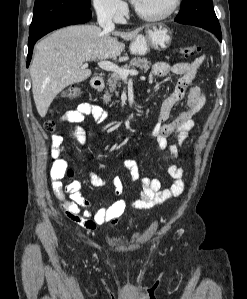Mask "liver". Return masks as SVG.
Returning a JSON list of instances; mask_svg holds the SVG:
<instances>
[{"mask_svg":"<svg viewBox=\"0 0 247 299\" xmlns=\"http://www.w3.org/2000/svg\"><path fill=\"white\" fill-rule=\"evenodd\" d=\"M141 30L105 31L96 25H72L42 39L36 45L30 67L32 93L39 115L46 116L62 90L91 76V70L82 68L85 62L116 59L125 49L117 37L131 41Z\"/></svg>","mask_w":247,"mask_h":299,"instance_id":"6515ba94","label":"liver"}]
</instances>
